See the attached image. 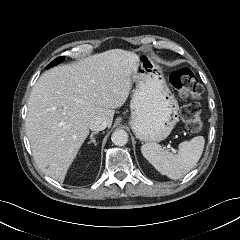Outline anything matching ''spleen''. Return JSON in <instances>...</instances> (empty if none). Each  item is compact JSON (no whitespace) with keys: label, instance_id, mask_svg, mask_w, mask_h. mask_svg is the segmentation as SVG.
Wrapping results in <instances>:
<instances>
[{"label":"spleen","instance_id":"3e777b00","mask_svg":"<svg viewBox=\"0 0 240 240\" xmlns=\"http://www.w3.org/2000/svg\"><path fill=\"white\" fill-rule=\"evenodd\" d=\"M204 144V137L197 136L190 141L181 142L177 154L163 150L157 143L142 145L141 152L162 175L177 180L197 164L203 153Z\"/></svg>","mask_w":240,"mask_h":240}]
</instances>
